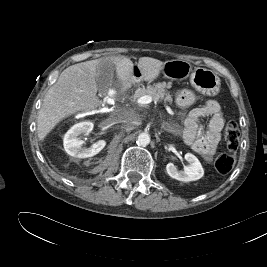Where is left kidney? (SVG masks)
Instances as JSON below:
<instances>
[{"label":"left kidney","mask_w":267,"mask_h":267,"mask_svg":"<svg viewBox=\"0 0 267 267\" xmlns=\"http://www.w3.org/2000/svg\"><path fill=\"white\" fill-rule=\"evenodd\" d=\"M185 159L189 165L184 167L183 170H178L173 163H168L166 165L168 175L182 182L196 181L202 178L204 170L197 157L191 153H187L185 154Z\"/></svg>","instance_id":"1"}]
</instances>
